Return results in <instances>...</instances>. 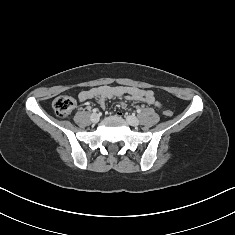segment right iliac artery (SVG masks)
<instances>
[{"mask_svg": "<svg viewBox=\"0 0 235 235\" xmlns=\"http://www.w3.org/2000/svg\"><path fill=\"white\" fill-rule=\"evenodd\" d=\"M97 111H98V109H96V108H95V109H93V113H96Z\"/></svg>", "mask_w": 235, "mask_h": 235, "instance_id": "right-iliac-artery-1", "label": "right iliac artery"}]
</instances>
